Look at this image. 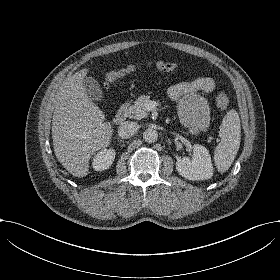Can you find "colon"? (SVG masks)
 I'll list each match as a JSON object with an SVG mask.
<instances>
[{"label":"colon","instance_id":"5ec220e1","mask_svg":"<svg viewBox=\"0 0 280 280\" xmlns=\"http://www.w3.org/2000/svg\"><path fill=\"white\" fill-rule=\"evenodd\" d=\"M160 68L164 72H172L176 68V63L172 59H164L160 63ZM216 102H217V105L219 106V108L225 109L229 103L228 95L223 91L217 92L216 93Z\"/></svg>","mask_w":280,"mask_h":280}]
</instances>
